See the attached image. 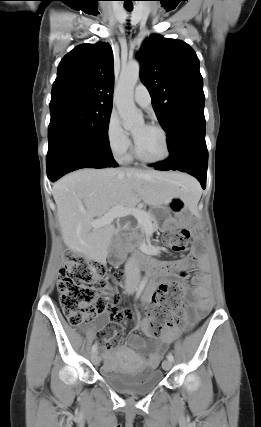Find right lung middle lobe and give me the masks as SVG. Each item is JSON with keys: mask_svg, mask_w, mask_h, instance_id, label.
Listing matches in <instances>:
<instances>
[{"mask_svg": "<svg viewBox=\"0 0 261 427\" xmlns=\"http://www.w3.org/2000/svg\"><path fill=\"white\" fill-rule=\"evenodd\" d=\"M112 107L64 105L50 109L49 147L58 143H75L110 148L108 125Z\"/></svg>", "mask_w": 261, "mask_h": 427, "instance_id": "1", "label": "right lung middle lobe"}]
</instances>
